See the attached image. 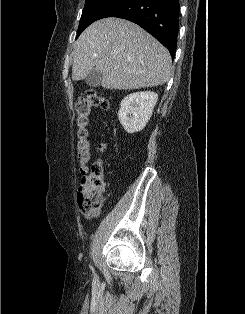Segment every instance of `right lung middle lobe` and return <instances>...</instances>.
<instances>
[{
  "label": "right lung middle lobe",
  "instance_id": "dd1d6c3e",
  "mask_svg": "<svg viewBox=\"0 0 245 314\" xmlns=\"http://www.w3.org/2000/svg\"><path fill=\"white\" fill-rule=\"evenodd\" d=\"M127 0H86L80 19L77 37L93 22L104 18L110 11Z\"/></svg>",
  "mask_w": 245,
  "mask_h": 314
}]
</instances>
